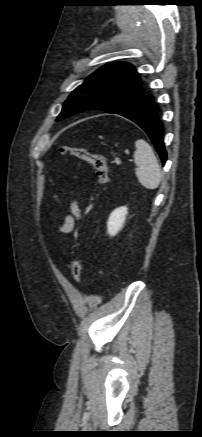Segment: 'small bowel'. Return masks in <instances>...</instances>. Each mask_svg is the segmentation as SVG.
<instances>
[{
    "instance_id": "obj_1",
    "label": "small bowel",
    "mask_w": 202,
    "mask_h": 437,
    "mask_svg": "<svg viewBox=\"0 0 202 437\" xmlns=\"http://www.w3.org/2000/svg\"><path fill=\"white\" fill-rule=\"evenodd\" d=\"M81 219V210L76 201H72L70 204V214H68L64 221L60 224L59 229L62 233L72 232L79 220Z\"/></svg>"
}]
</instances>
